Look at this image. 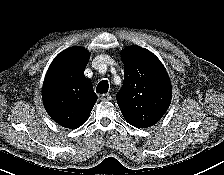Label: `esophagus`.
Segmentation results:
<instances>
[{
    "label": "esophagus",
    "mask_w": 224,
    "mask_h": 175,
    "mask_svg": "<svg viewBox=\"0 0 224 175\" xmlns=\"http://www.w3.org/2000/svg\"><path fill=\"white\" fill-rule=\"evenodd\" d=\"M111 99H112V96L108 93L100 95V100L102 101H110Z\"/></svg>",
    "instance_id": "obj_1"
}]
</instances>
